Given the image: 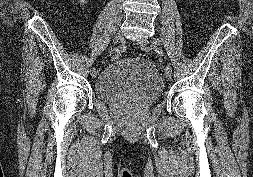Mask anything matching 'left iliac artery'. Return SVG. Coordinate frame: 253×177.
<instances>
[{"mask_svg":"<svg viewBox=\"0 0 253 177\" xmlns=\"http://www.w3.org/2000/svg\"><path fill=\"white\" fill-rule=\"evenodd\" d=\"M160 45H161V40L158 38L154 39L151 43V47L153 49H155V51L157 52V56H159V59H162V56H164V53H162V51H160V48H159ZM165 70L172 71V67L170 66V62H167V66H166Z\"/></svg>","mask_w":253,"mask_h":177,"instance_id":"left-iliac-artery-1","label":"left iliac artery"}]
</instances>
